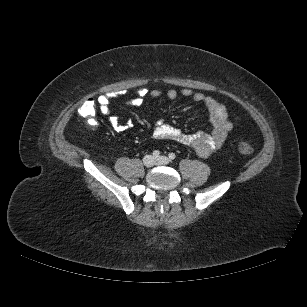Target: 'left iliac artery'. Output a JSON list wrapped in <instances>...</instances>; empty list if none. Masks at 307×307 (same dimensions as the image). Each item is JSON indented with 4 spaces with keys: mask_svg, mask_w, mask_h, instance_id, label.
Returning a JSON list of instances; mask_svg holds the SVG:
<instances>
[{
    "mask_svg": "<svg viewBox=\"0 0 307 307\" xmlns=\"http://www.w3.org/2000/svg\"><path fill=\"white\" fill-rule=\"evenodd\" d=\"M168 157L170 160H174L176 158V155L174 153H169Z\"/></svg>",
    "mask_w": 307,
    "mask_h": 307,
    "instance_id": "left-iliac-artery-1",
    "label": "left iliac artery"
}]
</instances>
